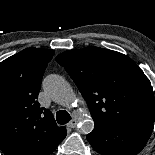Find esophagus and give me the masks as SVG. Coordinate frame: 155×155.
Wrapping results in <instances>:
<instances>
[{
	"instance_id": "34e87169",
	"label": "esophagus",
	"mask_w": 155,
	"mask_h": 155,
	"mask_svg": "<svg viewBox=\"0 0 155 155\" xmlns=\"http://www.w3.org/2000/svg\"><path fill=\"white\" fill-rule=\"evenodd\" d=\"M77 123H78V121H77L76 119H73V120H71V121L67 124V126L70 127V128H75L76 125H77Z\"/></svg>"
}]
</instances>
